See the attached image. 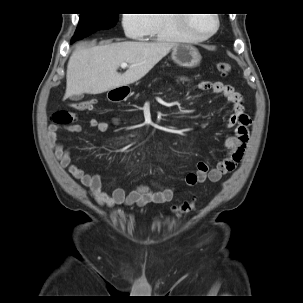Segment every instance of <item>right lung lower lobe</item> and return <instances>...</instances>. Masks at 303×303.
I'll return each mask as SVG.
<instances>
[{"label": "right lung lower lobe", "mask_w": 303, "mask_h": 303, "mask_svg": "<svg viewBox=\"0 0 303 303\" xmlns=\"http://www.w3.org/2000/svg\"><path fill=\"white\" fill-rule=\"evenodd\" d=\"M76 40H71V44L73 43V42H75Z\"/></svg>", "instance_id": "98d812e1"}]
</instances>
